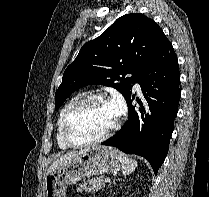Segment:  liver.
Segmentation results:
<instances>
[{
  "label": "liver",
  "instance_id": "1",
  "mask_svg": "<svg viewBox=\"0 0 209 197\" xmlns=\"http://www.w3.org/2000/svg\"><path fill=\"white\" fill-rule=\"evenodd\" d=\"M89 150V148L83 149V150H79V151H73V152H69L67 154H64L63 156L57 158L55 161H53V163L50 165L48 171H47V175L52 173L57 167L67 163L69 160L75 158L78 155H81L85 152H87Z\"/></svg>",
  "mask_w": 209,
  "mask_h": 197
}]
</instances>
